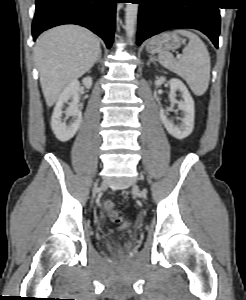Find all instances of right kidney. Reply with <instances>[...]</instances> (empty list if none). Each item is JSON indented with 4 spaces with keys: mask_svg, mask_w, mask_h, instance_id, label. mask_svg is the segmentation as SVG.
Here are the masks:
<instances>
[{
    "mask_svg": "<svg viewBox=\"0 0 246 300\" xmlns=\"http://www.w3.org/2000/svg\"><path fill=\"white\" fill-rule=\"evenodd\" d=\"M83 84L86 88H91L92 78L85 77L83 79ZM80 91V83L78 80L71 81L59 95L57 103L55 105L52 118H51V128L56 136V138L61 142H66L73 138V136L78 131L82 122V112L79 110L78 98ZM73 99L69 104V107L62 111L64 103L68 100ZM65 113L66 117L72 116L75 120L69 125L62 121V114Z\"/></svg>",
    "mask_w": 246,
    "mask_h": 300,
    "instance_id": "ca27d5eb",
    "label": "right kidney"
}]
</instances>
